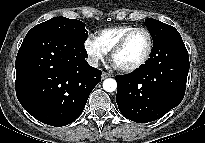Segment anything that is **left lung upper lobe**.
Masks as SVG:
<instances>
[{
    "instance_id": "1",
    "label": "left lung upper lobe",
    "mask_w": 205,
    "mask_h": 143,
    "mask_svg": "<svg viewBox=\"0 0 205 143\" xmlns=\"http://www.w3.org/2000/svg\"><path fill=\"white\" fill-rule=\"evenodd\" d=\"M145 25L148 28L152 38H153V44L161 41L165 36L168 34H171L173 32H176L177 30L168 24L162 23L156 19H146ZM147 64V62H146Z\"/></svg>"
}]
</instances>
